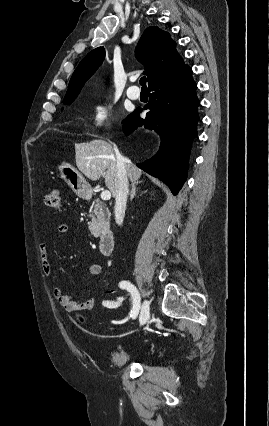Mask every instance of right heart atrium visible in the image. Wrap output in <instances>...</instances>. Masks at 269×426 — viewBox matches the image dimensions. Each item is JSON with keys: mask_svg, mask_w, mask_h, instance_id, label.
<instances>
[{"mask_svg": "<svg viewBox=\"0 0 269 426\" xmlns=\"http://www.w3.org/2000/svg\"><path fill=\"white\" fill-rule=\"evenodd\" d=\"M112 116V106L105 97L97 98L90 107L86 128L96 132L109 126Z\"/></svg>", "mask_w": 269, "mask_h": 426, "instance_id": "obj_1", "label": "right heart atrium"}]
</instances>
